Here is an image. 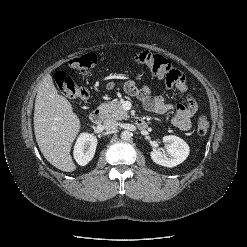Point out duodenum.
I'll return each instance as SVG.
<instances>
[{"label": "duodenum", "mask_w": 247, "mask_h": 247, "mask_svg": "<svg viewBox=\"0 0 247 247\" xmlns=\"http://www.w3.org/2000/svg\"><path fill=\"white\" fill-rule=\"evenodd\" d=\"M104 119V111L101 108H96L94 109L91 114H90V120L94 124H99L103 121ZM137 126L141 129H144L147 127V122L144 119H139L137 121Z\"/></svg>", "instance_id": "obj_1"}]
</instances>
